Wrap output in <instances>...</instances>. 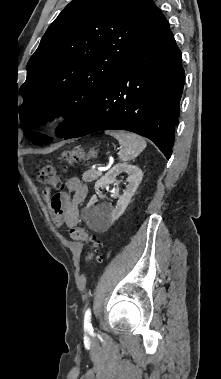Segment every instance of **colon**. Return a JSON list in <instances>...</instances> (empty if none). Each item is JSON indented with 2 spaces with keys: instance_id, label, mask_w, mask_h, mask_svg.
Listing matches in <instances>:
<instances>
[{
  "instance_id": "1",
  "label": "colon",
  "mask_w": 221,
  "mask_h": 379,
  "mask_svg": "<svg viewBox=\"0 0 221 379\" xmlns=\"http://www.w3.org/2000/svg\"><path fill=\"white\" fill-rule=\"evenodd\" d=\"M67 164H72L83 157V152L79 149L66 151L63 155ZM37 180L43 184L47 190L61 189L63 186L61 178L52 166H44L37 171ZM70 236L73 240L81 241L89 245L87 260L90 262L95 258V253L98 252L99 241L90 235L82 227H73L70 229Z\"/></svg>"
}]
</instances>
